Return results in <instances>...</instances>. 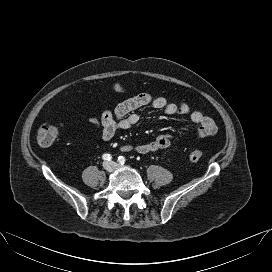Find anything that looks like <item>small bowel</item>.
<instances>
[{
	"label": "small bowel",
	"instance_id": "1",
	"mask_svg": "<svg viewBox=\"0 0 272 272\" xmlns=\"http://www.w3.org/2000/svg\"><path fill=\"white\" fill-rule=\"evenodd\" d=\"M146 106L161 109L166 115L180 114L189 117L197 125L196 130L192 133L196 138L212 136L217 132V126L212 118L204 115L201 111L193 110L187 103L173 102L148 93L138 94L119 103L113 110L105 111L100 120L95 117H86V120L100 128L101 138L109 141L117 131L134 127L139 121L136 110ZM172 141V135L160 134L150 142L135 145L133 150L139 154L165 151L171 147Z\"/></svg>",
	"mask_w": 272,
	"mask_h": 272
}]
</instances>
